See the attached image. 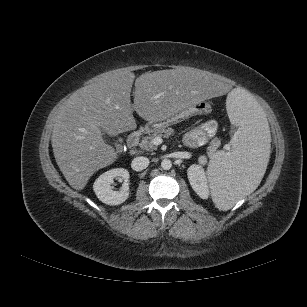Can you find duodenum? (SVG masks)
<instances>
[{"label": "duodenum", "instance_id": "obj_1", "mask_svg": "<svg viewBox=\"0 0 307 307\" xmlns=\"http://www.w3.org/2000/svg\"><path fill=\"white\" fill-rule=\"evenodd\" d=\"M142 134L143 131L140 129L133 131L128 137L127 146L131 149L136 148L140 142Z\"/></svg>", "mask_w": 307, "mask_h": 307}]
</instances>
